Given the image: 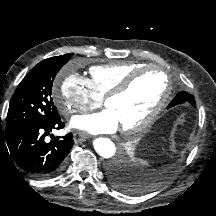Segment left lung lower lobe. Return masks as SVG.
I'll use <instances>...</instances> for the list:
<instances>
[{
  "label": "left lung lower lobe",
  "instance_id": "obj_1",
  "mask_svg": "<svg viewBox=\"0 0 216 216\" xmlns=\"http://www.w3.org/2000/svg\"><path fill=\"white\" fill-rule=\"evenodd\" d=\"M188 98L189 96H185L181 92H179L172 100V102L168 105V108H171L178 104L185 103L188 101ZM108 171L111 178V182L114 186H116V188L126 193L133 192L135 187L133 186L131 176L124 174V171L119 165L115 163L112 164Z\"/></svg>",
  "mask_w": 216,
  "mask_h": 216
}]
</instances>
